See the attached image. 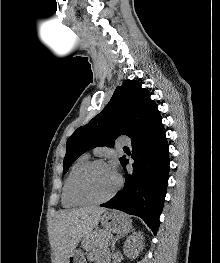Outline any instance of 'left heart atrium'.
Returning <instances> with one entry per match:
<instances>
[{"label":"left heart atrium","mask_w":220,"mask_h":263,"mask_svg":"<svg viewBox=\"0 0 220 263\" xmlns=\"http://www.w3.org/2000/svg\"><path fill=\"white\" fill-rule=\"evenodd\" d=\"M110 168L115 172L116 171V164L112 163V165L110 166Z\"/></svg>","instance_id":"left-heart-atrium-1"}]
</instances>
